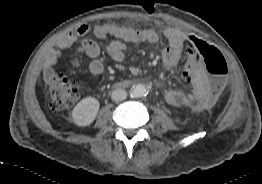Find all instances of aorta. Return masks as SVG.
I'll return each mask as SVG.
<instances>
[{
    "label": "aorta",
    "instance_id": "obj_1",
    "mask_svg": "<svg viewBox=\"0 0 262 184\" xmlns=\"http://www.w3.org/2000/svg\"><path fill=\"white\" fill-rule=\"evenodd\" d=\"M147 93V87L144 84H137L132 87L130 91V95L132 97H142L146 95Z\"/></svg>",
    "mask_w": 262,
    "mask_h": 184
}]
</instances>
